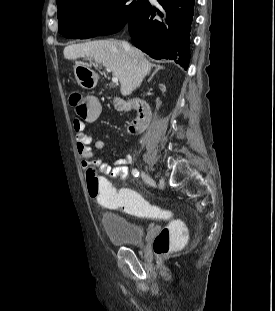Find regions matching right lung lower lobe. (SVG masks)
I'll return each instance as SVG.
<instances>
[{
    "instance_id": "1",
    "label": "right lung lower lobe",
    "mask_w": 275,
    "mask_h": 311,
    "mask_svg": "<svg viewBox=\"0 0 275 311\" xmlns=\"http://www.w3.org/2000/svg\"><path fill=\"white\" fill-rule=\"evenodd\" d=\"M164 12L148 3L132 15L126 27L134 45L154 59L175 60L185 70L190 58V30L195 0H157ZM157 12V14H155ZM89 32L80 39L94 37Z\"/></svg>"
}]
</instances>
